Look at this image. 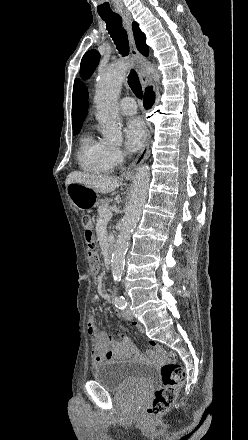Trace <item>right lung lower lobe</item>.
Listing matches in <instances>:
<instances>
[{"mask_svg": "<svg viewBox=\"0 0 248 440\" xmlns=\"http://www.w3.org/2000/svg\"><path fill=\"white\" fill-rule=\"evenodd\" d=\"M154 100H155V94L154 92H152V87L146 88V93L143 102L146 109H149L153 105Z\"/></svg>", "mask_w": 248, "mask_h": 440, "instance_id": "obj_1", "label": "right lung lower lobe"}]
</instances>
